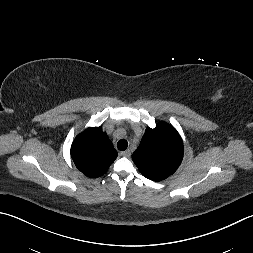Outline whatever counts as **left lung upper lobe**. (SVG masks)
<instances>
[{
  "label": "left lung upper lobe",
  "mask_w": 253,
  "mask_h": 253,
  "mask_svg": "<svg viewBox=\"0 0 253 253\" xmlns=\"http://www.w3.org/2000/svg\"><path fill=\"white\" fill-rule=\"evenodd\" d=\"M132 158L143 176L161 181L179 167L183 158V143L173 126L160 122L154 129H146Z\"/></svg>",
  "instance_id": "1"
}]
</instances>
